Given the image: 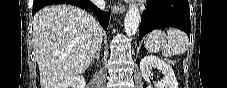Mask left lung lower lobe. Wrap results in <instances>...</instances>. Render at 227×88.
<instances>
[{"instance_id": "left-lung-lower-lobe-1", "label": "left lung lower lobe", "mask_w": 227, "mask_h": 88, "mask_svg": "<svg viewBox=\"0 0 227 88\" xmlns=\"http://www.w3.org/2000/svg\"><path fill=\"white\" fill-rule=\"evenodd\" d=\"M190 10L188 0H147L139 27V39L148 32L164 27H175L190 37Z\"/></svg>"}]
</instances>
